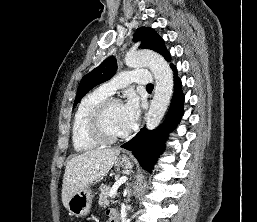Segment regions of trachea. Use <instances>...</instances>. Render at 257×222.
<instances>
[{
    "label": "trachea",
    "instance_id": "3493384b",
    "mask_svg": "<svg viewBox=\"0 0 257 222\" xmlns=\"http://www.w3.org/2000/svg\"><path fill=\"white\" fill-rule=\"evenodd\" d=\"M153 84H148L147 86H146V88H150V89H153Z\"/></svg>",
    "mask_w": 257,
    "mask_h": 222
}]
</instances>
